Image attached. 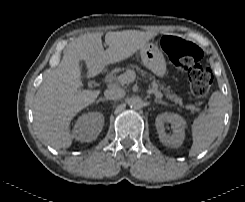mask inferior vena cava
Here are the masks:
<instances>
[{"label": "inferior vena cava", "instance_id": "obj_1", "mask_svg": "<svg viewBox=\"0 0 245 202\" xmlns=\"http://www.w3.org/2000/svg\"><path fill=\"white\" fill-rule=\"evenodd\" d=\"M106 99L118 100L125 96V91L120 87H113L104 92Z\"/></svg>", "mask_w": 245, "mask_h": 202}]
</instances>
